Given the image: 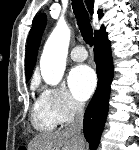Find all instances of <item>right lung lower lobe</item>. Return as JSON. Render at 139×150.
Returning a JSON list of instances; mask_svg holds the SVG:
<instances>
[{"instance_id":"right-lung-lower-lobe-1","label":"right lung lower lobe","mask_w":139,"mask_h":150,"mask_svg":"<svg viewBox=\"0 0 139 150\" xmlns=\"http://www.w3.org/2000/svg\"><path fill=\"white\" fill-rule=\"evenodd\" d=\"M94 43L98 85L84 114V136L90 144V150H96L103 132L108 113L110 84L113 79L110 41L103 26L94 33Z\"/></svg>"}]
</instances>
